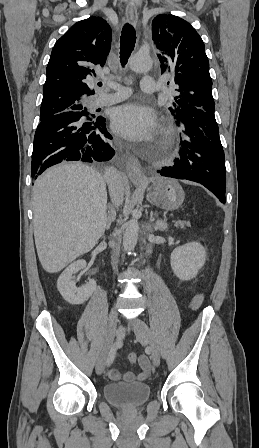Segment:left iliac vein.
Wrapping results in <instances>:
<instances>
[{
  "label": "left iliac vein",
  "mask_w": 259,
  "mask_h": 448,
  "mask_svg": "<svg viewBox=\"0 0 259 448\" xmlns=\"http://www.w3.org/2000/svg\"><path fill=\"white\" fill-rule=\"evenodd\" d=\"M133 328L137 340L141 343L147 344L150 347L152 362L155 366H158L160 363V353L148 325L141 319L136 318L133 321Z\"/></svg>",
  "instance_id": "obj_1"
}]
</instances>
